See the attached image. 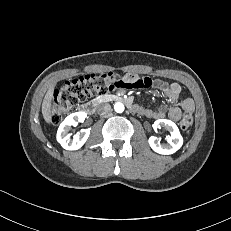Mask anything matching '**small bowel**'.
<instances>
[{
    "mask_svg": "<svg viewBox=\"0 0 231 231\" xmlns=\"http://www.w3.org/2000/svg\"><path fill=\"white\" fill-rule=\"evenodd\" d=\"M123 78L125 81H133V80L138 79L139 77L136 74L128 73ZM124 80L120 79L119 83L123 84ZM120 84L116 85L117 89L121 88ZM147 84L151 85L152 81L148 80ZM125 86L131 87L132 89H135L136 87H142L143 83L142 82H134V83L133 82H126ZM154 86L158 90L162 91L165 94L168 101L171 104H173L174 106L167 108L166 106L161 105V106H158L152 110L139 107V110L137 112L144 113V114H146L152 118H155V119H160V118H163L166 115H168V117L174 121H178L181 118L182 114L193 112L194 102L192 99L185 98L179 102L181 91H182L181 86L179 84L174 83V82L173 83H166V82L158 79V80H155ZM178 102H179V104L175 105Z\"/></svg>",
    "mask_w": 231,
    "mask_h": 231,
    "instance_id": "c3829d8e",
    "label": "small bowel"
}]
</instances>
